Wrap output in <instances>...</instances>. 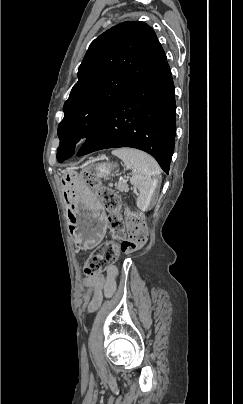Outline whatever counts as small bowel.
I'll return each mask as SVG.
<instances>
[{
	"instance_id": "1",
	"label": "small bowel",
	"mask_w": 243,
	"mask_h": 404,
	"mask_svg": "<svg viewBox=\"0 0 243 404\" xmlns=\"http://www.w3.org/2000/svg\"><path fill=\"white\" fill-rule=\"evenodd\" d=\"M117 268L109 266L106 276L98 275L87 281V285L93 287V296L89 305V310L93 311L97 308L102 299V292L111 295L116 288Z\"/></svg>"
}]
</instances>
